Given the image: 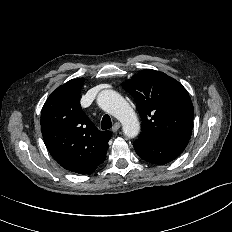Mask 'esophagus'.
Returning a JSON list of instances; mask_svg holds the SVG:
<instances>
[{"label":"esophagus","mask_w":232,"mask_h":232,"mask_svg":"<svg viewBox=\"0 0 232 232\" xmlns=\"http://www.w3.org/2000/svg\"><path fill=\"white\" fill-rule=\"evenodd\" d=\"M120 123L116 122L112 127V132H117L120 128Z\"/></svg>","instance_id":"esophagus-1"}]
</instances>
